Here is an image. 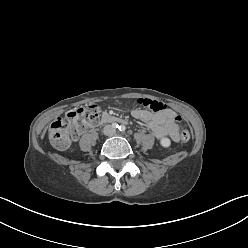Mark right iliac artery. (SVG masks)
<instances>
[{
    "mask_svg": "<svg viewBox=\"0 0 248 248\" xmlns=\"http://www.w3.org/2000/svg\"><path fill=\"white\" fill-rule=\"evenodd\" d=\"M115 128H119V125L117 124V125H115Z\"/></svg>",
    "mask_w": 248,
    "mask_h": 248,
    "instance_id": "right-iliac-artery-1",
    "label": "right iliac artery"
}]
</instances>
